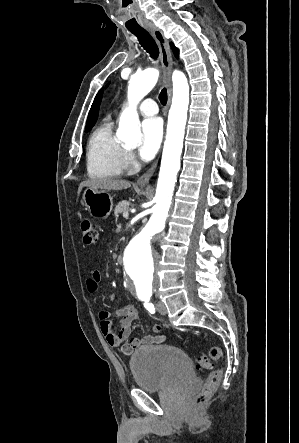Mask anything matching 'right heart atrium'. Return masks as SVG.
<instances>
[{
	"mask_svg": "<svg viewBox=\"0 0 299 443\" xmlns=\"http://www.w3.org/2000/svg\"><path fill=\"white\" fill-rule=\"evenodd\" d=\"M124 164H125V168H130V169L133 168L136 165L135 156L129 150L125 151Z\"/></svg>",
	"mask_w": 299,
	"mask_h": 443,
	"instance_id": "d8ad5b80",
	"label": "right heart atrium"
}]
</instances>
